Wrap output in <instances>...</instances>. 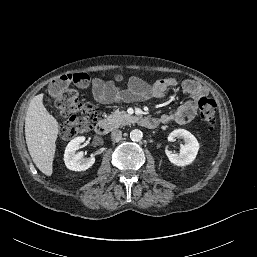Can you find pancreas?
I'll return each instance as SVG.
<instances>
[{"instance_id":"obj_1","label":"pancreas","mask_w":257,"mask_h":257,"mask_svg":"<svg viewBox=\"0 0 257 257\" xmlns=\"http://www.w3.org/2000/svg\"><path fill=\"white\" fill-rule=\"evenodd\" d=\"M136 117L127 114L124 111H114L107 116V122L113 128H119L135 121Z\"/></svg>"}]
</instances>
